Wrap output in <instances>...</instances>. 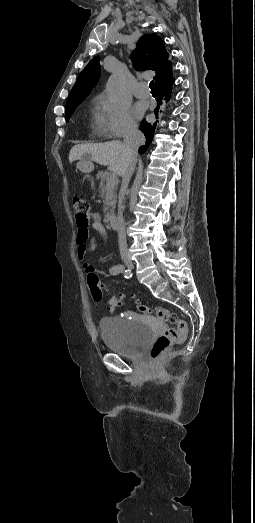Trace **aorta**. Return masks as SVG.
Here are the masks:
<instances>
[{"label": "aorta", "instance_id": "1", "mask_svg": "<svg viewBox=\"0 0 255 523\" xmlns=\"http://www.w3.org/2000/svg\"><path fill=\"white\" fill-rule=\"evenodd\" d=\"M122 91V78L118 74H112L106 84V93L112 100L117 99Z\"/></svg>", "mask_w": 255, "mask_h": 523}]
</instances>
